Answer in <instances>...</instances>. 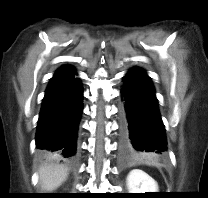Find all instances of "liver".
Here are the masks:
<instances>
[{"label": "liver", "instance_id": "6515ba94", "mask_svg": "<svg viewBox=\"0 0 208 198\" xmlns=\"http://www.w3.org/2000/svg\"><path fill=\"white\" fill-rule=\"evenodd\" d=\"M68 177V169L63 165H44L39 169V180L45 191L57 189Z\"/></svg>", "mask_w": 208, "mask_h": 198}]
</instances>
